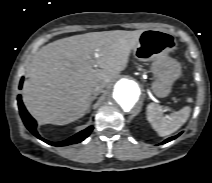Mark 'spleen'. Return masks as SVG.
Listing matches in <instances>:
<instances>
[{
    "mask_svg": "<svg viewBox=\"0 0 212 183\" xmlns=\"http://www.w3.org/2000/svg\"><path fill=\"white\" fill-rule=\"evenodd\" d=\"M191 108L183 107L169 115H163L161 106L150 103L146 109L147 120L159 136H167L177 131L189 118Z\"/></svg>",
    "mask_w": 212,
    "mask_h": 183,
    "instance_id": "obj_1",
    "label": "spleen"
}]
</instances>
